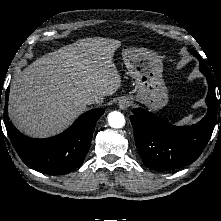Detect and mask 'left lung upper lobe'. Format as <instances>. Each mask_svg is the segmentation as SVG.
Returning <instances> with one entry per match:
<instances>
[{"label":"left lung upper lobe","mask_w":221,"mask_h":221,"mask_svg":"<svg viewBox=\"0 0 221 221\" xmlns=\"http://www.w3.org/2000/svg\"><path fill=\"white\" fill-rule=\"evenodd\" d=\"M193 54H194V56H198V55H199V54H198L197 52H195V51L193 52Z\"/></svg>","instance_id":"5c2ea615"}]
</instances>
